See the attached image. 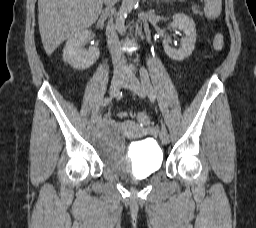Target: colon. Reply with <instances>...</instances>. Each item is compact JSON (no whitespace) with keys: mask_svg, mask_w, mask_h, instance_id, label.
Wrapping results in <instances>:
<instances>
[{"mask_svg":"<svg viewBox=\"0 0 256 228\" xmlns=\"http://www.w3.org/2000/svg\"><path fill=\"white\" fill-rule=\"evenodd\" d=\"M194 11L195 13H200V9L198 6H194ZM213 46L216 50H222L223 47H224V37L222 34H217L214 38V42H213ZM120 117H124L125 116V113L123 112H120L118 114ZM136 120L138 123L142 124V125H145V126H149L151 125V120L149 118V116L145 113H137L136 114Z\"/></svg>","mask_w":256,"mask_h":228,"instance_id":"5ec220e1","label":"colon"}]
</instances>
